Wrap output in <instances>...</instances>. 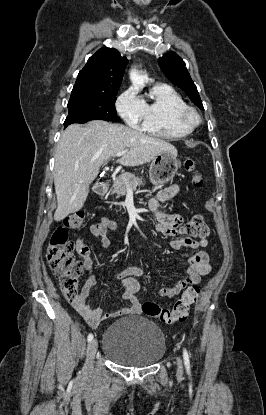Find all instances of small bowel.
<instances>
[{
  "mask_svg": "<svg viewBox=\"0 0 266 415\" xmlns=\"http://www.w3.org/2000/svg\"><path fill=\"white\" fill-rule=\"evenodd\" d=\"M153 191L157 192L149 198L148 206L155 220V227L157 231L166 236H175L178 228L183 222V219L179 214L161 211L159 209V204L160 202H164L175 197L180 192V187L177 184H173L159 190L158 187H155ZM117 228L118 225L116 223L108 219H102L91 225L90 232L101 238L102 247L108 248L110 246V240L107 237V232ZM170 245L175 250L191 248L198 251L187 258V267L184 270V277L174 286L165 287L160 290V295L166 298H173L187 286L198 284L201 276L207 275L211 271L209 255L204 250V248L208 245L206 239L196 240L188 237L177 238L174 239ZM75 246L84 268L90 273V275L85 279L79 297L70 303L85 319L88 325L92 328H97L100 323L106 319L140 313L141 302L137 296L140 287L134 277L144 276V272L141 267L136 264H129L126 269L114 273V277L121 279L122 281V285L124 287L123 299L128 302V304L122 306L117 311L104 314L102 309L92 308L86 300L90 290L97 282V277L92 273L93 257L90 253L89 247L85 243L83 237H79L76 240ZM144 290H146V288H144Z\"/></svg>",
  "mask_w": 266,
  "mask_h": 415,
  "instance_id": "obj_1",
  "label": "small bowel"
}]
</instances>
